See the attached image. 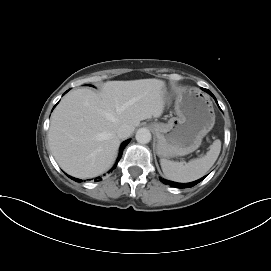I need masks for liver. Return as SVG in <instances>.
<instances>
[{
  "instance_id": "liver-1",
  "label": "liver",
  "mask_w": 271,
  "mask_h": 271,
  "mask_svg": "<svg viewBox=\"0 0 271 271\" xmlns=\"http://www.w3.org/2000/svg\"><path fill=\"white\" fill-rule=\"evenodd\" d=\"M165 83L158 79L108 81L102 91L69 92L55 108L48 131L59 166L77 178H92L113 164L122 125L133 131L140 121L162 115Z\"/></svg>"
}]
</instances>
